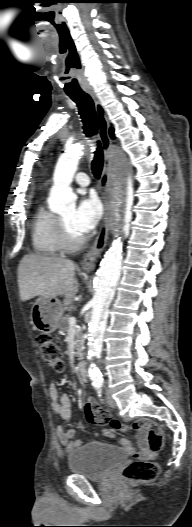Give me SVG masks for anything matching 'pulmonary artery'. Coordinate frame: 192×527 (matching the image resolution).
Returning <instances> with one entry per match:
<instances>
[{
    "instance_id": "obj_1",
    "label": "pulmonary artery",
    "mask_w": 192,
    "mask_h": 527,
    "mask_svg": "<svg viewBox=\"0 0 192 527\" xmlns=\"http://www.w3.org/2000/svg\"><path fill=\"white\" fill-rule=\"evenodd\" d=\"M74 181L81 187H87L90 184L89 176L82 172L75 176Z\"/></svg>"
}]
</instances>
